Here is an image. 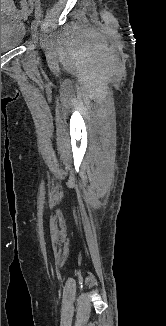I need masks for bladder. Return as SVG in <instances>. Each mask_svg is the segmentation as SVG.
Listing matches in <instances>:
<instances>
[{"instance_id":"obj_1","label":"bladder","mask_w":166,"mask_h":326,"mask_svg":"<svg viewBox=\"0 0 166 326\" xmlns=\"http://www.w3.org/2000/svg\"><path fill=\"white\" fill-rule=\"evenodd\" d=\"M25 33L26 26L22 19L1 13V52L17 48Z\"/></svg>"}]
</instances>
